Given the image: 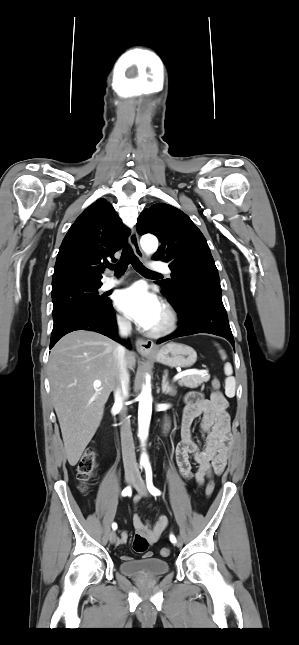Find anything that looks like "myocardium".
I'll return each instance as SVG.
<instances>
[{"label":"myocardium","mask_w":299,"mask_h":645,"mask_svg":"<svg viewBox=\"0 0 299 645\" xmlns=\"http://www.w3.org/2000/svg\"><path fill=\"white\" fill-rule=\"evenodd\" d=\"M161 314V323L157 327L151 328L148 331V334L152 337L164 336L166 334H169L176 328L178 321L177 315L170 306L164 305L162 307Z\"/></svg>","instance_id":"obj_1"}]
</instances>
